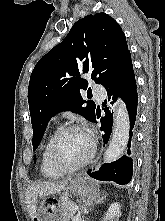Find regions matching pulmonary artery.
<instances>
[{
  "label": "pulmonary artery",
  "instance_id": "obj_1",
  "mask_svg": "<svg viewBox=\"0 0 165 221\" xmlns=\"http://www.w3.org/2000/svg\"><path fill=\"white\" fill-rule=\"evenodd\" d=\"M94 94L96 96V99L98 101H102L104 98V90L101 87H95L94 88Z\"/></svg>",
  "mask_w": 165,
  "mask_h": 221
}]
</instances>
